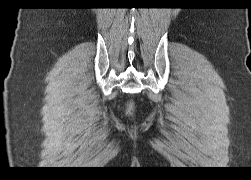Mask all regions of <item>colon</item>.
Returning <instances> with one entry per match:
<instances>
[{"label": "colon", "mask_w": 251, "mask_h": 180, "mask_svg": "<svg viewBox=\"0 0 251 180\" xmlns=\"http://www.w3.org/2000/svg\"><path fill=\"white\" fill-rule=\"evenodd\" d=\"M127 111H128V113H132V111H133V106H132V105H129Z\"/></svg>", "instance_id": "1"}]
</instances>
